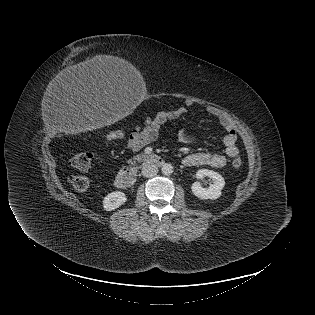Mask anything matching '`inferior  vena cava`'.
<instances>
[{
  "instance_id": "obj_1",
  "label": "inferior vena cava",
  "mask_w": 315,
  "mask_h": 315,
  "mask_svg": "<svg viewBox=\"0 0 315 315\" xmlns=\"http://www.w3.org/2000/svg\"><path fill=\"white\" fill-rule=\"evenodd\" d=\"M158 169L153 164H145L142 168V175L144 177H153L157 174Z\"/></svg>"
}]
</instances>
